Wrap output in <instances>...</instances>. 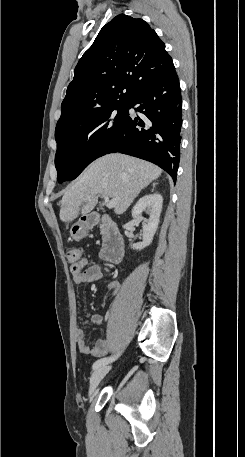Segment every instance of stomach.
<instances>
[{
  "label": "stomach",
  "instance_id": "1",
  "mask_svg": "<svg viewBox=\"0 0 245 457\" xmlns=\"http://www.w3.org/2000/svg\"><path fill=\"white\" fill-rule=\"evenodd\" d=\"M92 224H94V222L89 220L88 216H86V220H78V222H75V224H73L70 229V235L72 239H75V241H80V239H83L86 233L90 231Z\"/></svg>",
  "mask_w": 245,
  "mask_h": 457
}]
</instances>
